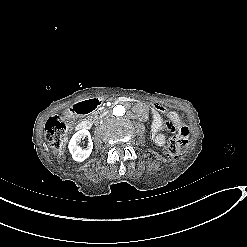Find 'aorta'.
Segmentation results:
<instances>
[{
	"label": "aorta",
	"mask_w": 247,
	"mask_h": 247,
	"mask_svg": "<svg viewBox=\"0 0 247 247\" xmlns=\"http://www.w3.org/2000/svg\"><path fill=\"white\" fill-rule=\"evenodd\" d=\"M113 114L115 116H123L125 114V108L124 106L122 105H116L114 108H113Z\"/></svg>",
	"instance_id": "obj_1"
}]
</instances>
